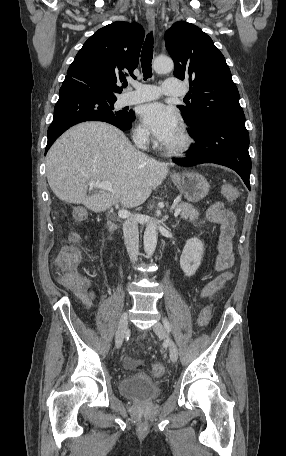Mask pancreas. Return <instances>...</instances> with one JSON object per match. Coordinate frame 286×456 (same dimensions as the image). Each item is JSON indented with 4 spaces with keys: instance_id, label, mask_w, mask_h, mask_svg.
<instances>
[{
    "instance_id": "pancreas-1",
    "label": "pancreas",
    "mask_w": 286,
    "mask_h": 456,
    "mask_svg": "<svg viewBox=\"0 0 286 456\" xmlns=\"http://www.w3.org/2000/svg\"><path fill=\"white\" fill-rule=\"evenodd\" d=\"M176 208H181V217L183 219L195 221L199 217V212L189 203L181 202L176 206Z\"/></svg>"
}]
</instances>
